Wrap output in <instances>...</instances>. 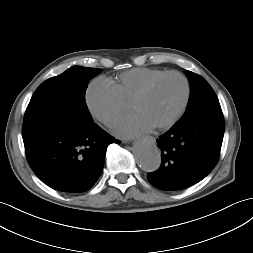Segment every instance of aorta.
Listing matches in <instances>:
<instances>
[{
	"instance_id": "1",
	"label": "aorta",
	"mask_w": 253,
	"mask_h": 253,
	"mask_svg": "<svg viewBox=\"0 0 253 253\" xmlns=\"http://www.w3.org/2000/svg\"><path fill=\"white\" fill-rule=\"evenodd\" d=\"M134 156L139 167L146 172H154L161 165V153L155 141L142 139L134 144Z\"/></svg>"
}]
</instances>
